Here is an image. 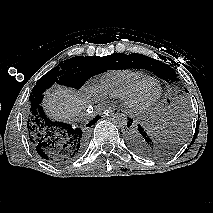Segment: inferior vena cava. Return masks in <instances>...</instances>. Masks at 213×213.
I'll return each mask as SVG.
<instances>
[{"mask_svg":"<svg viewBox=\"0 0 213 213\" xmlns=\"http://www.w3.org/2000/svg\"><path fill=\"white\" fill-rule=\"evenodd\" d=\"M83 116H91V114H89V113H84V114H82Z\"/></svg>","mask_w":213,"mask_h":213,"instance_id":"inferior-vena-cava-1","label":"inferior vena cava"}]
</instances>
